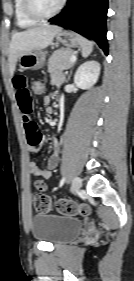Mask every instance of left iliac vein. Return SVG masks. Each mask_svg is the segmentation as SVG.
<instances>
[{
	"label": "left iliac vein",
	"mask_w": 134,
	"mask_h": 281,
	"mask_svg": "<svg viewBox=\"0 0 134 281\" xmlns=\"http://www.w3.org/2000/svg\"><path fill=\"white\" fill-rule=\"evenodd\" d=\"M81 186H82L81 179L79 177H75L73 179V182H72L71 192L72 193H77L80 190Z\"/></svg>",
	"instance_id": "left-iliac-vein-1"
}]
</instances>
